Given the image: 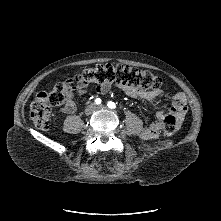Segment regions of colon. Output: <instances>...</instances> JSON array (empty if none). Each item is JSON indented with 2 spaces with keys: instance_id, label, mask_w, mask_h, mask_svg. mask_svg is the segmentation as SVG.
Here are the masks:
<instances>
[{
  "instance_id": "5ec220e1",
  "label": "colon",
  "mask_w": 221,
  "mask_h": 221,
  "mask_svg": "<svg viewBox=\"0 0 221 221\" xmlns=\"http://www.w3.org/2000/svg\"><path fill=\"white\" fill-rule=\"evenodd\" d=\"M76 83L80 87L103 84L120 83L141 90H157L161 85V79L150 72L125 65L104 64L85 69L81 74L65 83H59L47 92H39L30 105V118L39 129H48L50 125V113L52 106L62 105L66 99L70 86ZM176 119L168 116L164 120V131L170 136L176 127Z\"/></svg>"
}]
</instances>
